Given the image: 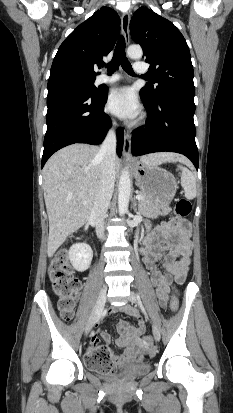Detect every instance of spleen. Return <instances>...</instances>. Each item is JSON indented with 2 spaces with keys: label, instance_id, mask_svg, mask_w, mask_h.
I'll return each mask as SVG.
<instances>
[{
  "label": "spleen",
  "instance_id": "1",
  "mask_svg": "<svg viewBox=\"0 0 233 413\" xmlns=\"http://www.w3.org/2000/svg\"><path fill=\"white\" fill-rule=\"evenodd\" d=\"M178 168L181 170V186L184 189L185 197L192 200L196 197V178L188 168L181 165Z\"/></svg>",
  "mask_w": 233,
  "mask_h": 413
}]
</instances>
